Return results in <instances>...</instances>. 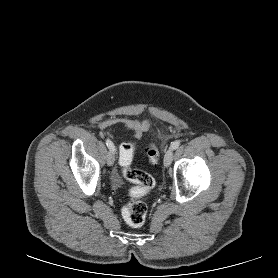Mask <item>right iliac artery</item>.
<instances>
[{
	"instance_id": "right-iliac-artery-1",
	"label": "right iliac artery",
	"mask_w": 278,
	"mask_h": 278,
	"mask_svg": "<svg viewBox=\"0 0 278 278\" xmlns=\"http://www.w3.org/2000/svg\"><path fill=\"white\" fill-rule=\"evenodd\" d=\"M106 145L110 150L115 151L114 144L112 143V141L110 139L106 140Z\"/></svg>"
}]
</instances>
